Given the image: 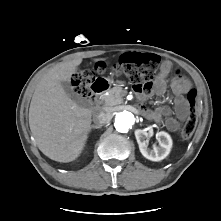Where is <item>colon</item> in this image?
<instances>
[{"label":"colon","mask_w":221,"mask_h":221,"mask_svg":"<svg viewBox=\"0 0 221 221\" xmlns=\"http://www.w3.org/2000/svg\"><path fill=\"white\" fill-rule=\"evenodd\" d=\"M159 61L156 55L144 53L131 56L128 60L122 61L121 64L114 65L113 70L117 73L125 74L138 89L149 90L153 85ZM106 70L107 66L104 63H98L95 66V71L99 74L106 72ZM92 77V73L88 70L73 74L72 82L75 93L79 97L86 98L90 95L89 85ZM185 98L190 108L181 135L184 139H189L193 135L197 123L196 91L193 89L188 90Z\"/></svg>","instance_id":"1"}]
</instances>
